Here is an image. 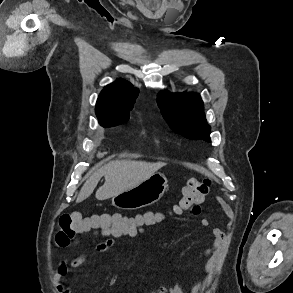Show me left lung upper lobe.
Returning a JSON list of instances; mask_svg holds the SVG:
<instances>
[{
    "label": "left lung upper lobe",
    "mask_w": 293,
    "mask_h": 293,
    "mask_svg": "<svg viewBox=\"0 0 293 293\" xmlns=\"http://www.w3.org/2000/svg\"><path fill=\"white\" fill-rule=\"evenodd\" d=\"M158 105L170 127L189 139H203L210 142V126L203 113V102L198 94H158Z\"/></svg>",
    "instance_id": "5c2ea615"
}]
</instances>
